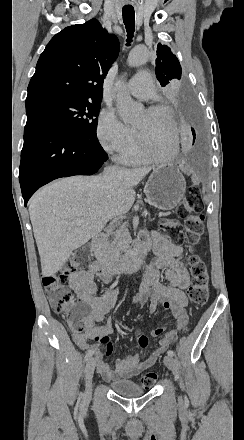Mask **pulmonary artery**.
<instances>
[{
    "mask_svg": "<svg viewBox=\"0 0 244 440\" xmlns=\"http://www.w3.org/2000/svg\"><path fill=\"white\" fill-rule=\"evenodd\" d=\"M127 88L139 99H154L153 83L148 69H139L138 75H131Z\"/></svg>",
    "mask_w": 244,
    "mask_h": 440,
    "instance_id": "1",
    "label": "pulmonary artery"
}]
</instances>
